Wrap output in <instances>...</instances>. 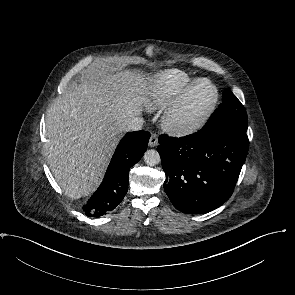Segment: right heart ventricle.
Returning <instances> with one entry per match:
<instances>
[{"label": "right heart ventricle", "mask_w": 295, "mask_h": 295, "mask_svg": "<svg viewBox=\"0 0 295 295\" xmlns=\"http://www.w3.org/2000/svg\"><path fill=\"white\" fill-rule=\"evenodd\" d=\"M194 80L196 79L179 70H166L156 74L147 87L145 99L148 106L158 109L171 104Z\"/></svg>", "instance_id": "obj_1"}]
</instances>
